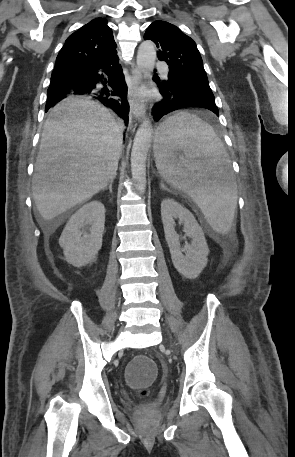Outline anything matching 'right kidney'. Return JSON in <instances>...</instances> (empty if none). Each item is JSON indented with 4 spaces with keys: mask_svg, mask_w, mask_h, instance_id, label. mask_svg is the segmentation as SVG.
I'll use <instances>...</instances> for the list:
<instances>
[{
    "mask_svg": "<svg viewBox=\"0 0 295 457\" xmlns=\"http://www.w3.org/2000/svg\"><path fill=\"white\" fill-rule=\"evenodd\" d=\"M104 224L105 207L100 201L89 202L77 210L59 239L65 260L76 267L96 261L102 246Z\"/></svg>",
    "mask_w": 295,
    "mask_h": 457,
    "instance_id": "1",
    "label": "right kidney"
}]
</instances>
